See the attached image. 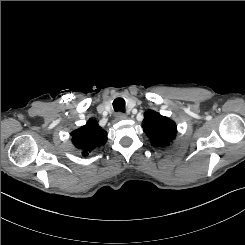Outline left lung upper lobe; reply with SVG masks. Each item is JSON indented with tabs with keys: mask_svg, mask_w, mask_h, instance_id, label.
Wrapping results in <instances>:
<instances>
[{
	"mask_svg": "<svg viewBox=\"0 0 245 245\" xmlns=\"http://www.w3.org/2000/svg\"><path fill=\"white\" fill-rule=\"evenodd\" d=\"M142 127L150 138L152 146L169 145L177 133L174 121L153 110H148L144 114Z\"/></svg>",
	"mask_w": 245,
	"mask_h": 245,
	"instance_id": "left-lung-upper-lobe-1",
	"label": "left lung upper lobe"
}]
</instances>
